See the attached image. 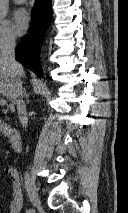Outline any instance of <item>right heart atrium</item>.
<instances>
[{"label":"right heart atrium","mask_w":128,"mask_h":213,"mask_svg":"<svg viewBox=\"0 0 128 213\" xmlns=\"http://www.w3.org/2000/svg\"><path fill=\"white\" fill-rule=\"evenodd\" d=\"M16 35L6 21H0V51L16 43Z\"/></svg>","instance_id":"d8ad5b80"}]
</instances>
